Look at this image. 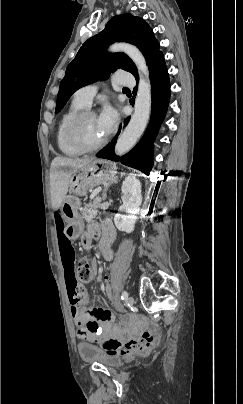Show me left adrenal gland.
<instances>
[{"label":"left adrenal gland","instance_id":"1","mask_svg":"<svg viewBox=\"0 0 243 404\" xmlns=\"http://www.w3.org/2000/svg\"><path fill=\"white\" fill-rule=\"evenodd\" d=\"M118 176H113V178H110L109 182H108V186H105L104 190H103V194H102V200L103 202H105L106 198H107V192H108V188H110V186H112V184H118Z\"/></svg>","mask_w":243,"mask_h":404}]
</instances>
